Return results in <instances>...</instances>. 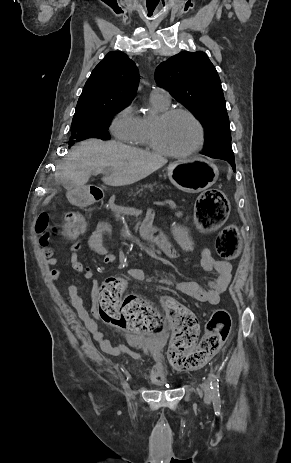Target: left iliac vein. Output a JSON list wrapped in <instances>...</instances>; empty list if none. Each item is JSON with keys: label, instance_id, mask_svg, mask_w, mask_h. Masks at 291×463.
<instances>
[{"label": "left iliac vein", "instance_id": "4c4485c4", "mask_svg": "<svg viewBox=\"0 0 291 463\" xmlns=\"http://www.w3.org/2000/svg\"><path fill=\"white\" fill-rule=\"evenodd\" d=\"M203 389H204V393H205V402L210 403L211 399H212V391H211L209 381H205L203 383Z\"/></svg>", "mask_w": 291, "mask_h": 463}]
</instances>
